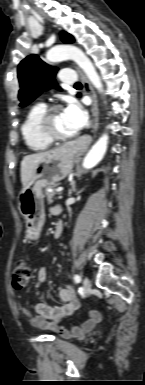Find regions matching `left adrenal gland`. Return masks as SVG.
Instances as JSON below:
<instances>
[{"instance_id":"obj_1","label":"left adrenal gland","mask_w":145,"mask_h":385,"mask_svg":"<svg viewBox=\"0 0 145 385\" xmlns=\"http://www.w3.org/2000/svg\"><path fill=\"white\" fill-rule=\"evenodd\" d=\"M75 191H76L75 181H72L71 182V189L69 190V195H71Z\"/></svg>"}]
</instances>
